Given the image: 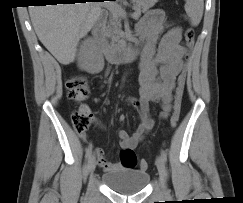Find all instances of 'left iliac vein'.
<instances>
[{
  "mask_svg": "<svg viewBox=\"0 0 243 203\" xmlns=\"http://www.w3.org/2000/svg\"><path fill=\"white\" fill-rule=\"evenodd\" d=\"M156 166L159 172L160 176V182L163 186V191L167 192V187H166V168H165V163L162 159V157L158 156L156 158Z\"/></svg>",
  "mask_w": 243,
  "mask_h": 203,
  "instance_id": "obj_1",
  "label": "left iliac vein"
}]
</instances>
